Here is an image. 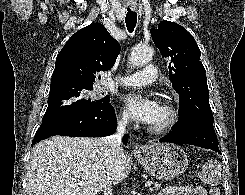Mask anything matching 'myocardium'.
Returning <instances> with one entry per match:
<instances>
[{
    "label": "myocardium",
    "instance_id": "myocardium-1",
    "mask_svg": "<svg viewBox=\"0 0 245 195\" xmlns=\"http://www.w3.org/2000/svg\"><path fill=\"white\" fill-rule=\"evenodd\" d=\"M162 108L166 113V118L158 125H151L149 132L155 135H160L171 131L180 121V112L177 106L171 102H162Z\"/></svg>",
    "mask_w": 245,
    "mask_h": 195
}]
</instances>
